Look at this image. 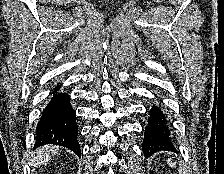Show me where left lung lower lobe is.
Wrapping results in <instances>:
<instances>
[{
	"mask_svg": "<svg viewBox=\"0 0 224 174\" xmlns=\"http://www.w3.org/2000/svg\"><path fill=\"white\" fill-rule=\"evenodd\" d=\"M148 113L142 146L145 157L161 150L176 151L170 138V129L164 111L153 105Z\"/></svg>",
	"mask_w": 224,
	"mask_h": 174,
	"instance_id": "left-lung-lower-lobe-1",
	"label": "left lung lower lobe"
}]
</instances>
